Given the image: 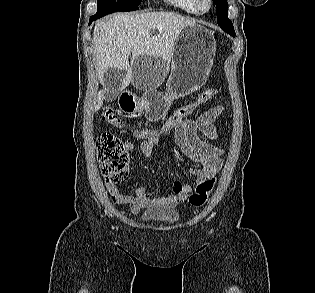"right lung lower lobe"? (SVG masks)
Returning <instances> with one entry per match:
<instances>
[{"label": "right lung lower lobe", "mask_w": 315, "mask_h": 293, "mask_svg": "<svg viewBox=\"0 0 315 293\" xmlns=\"http://www.w3.org/2000/svg\"><path fill=\"white\" fill-rule=\"evenodd\" d=\"M112 12H116V10L111 9V10H97V13L95 15H93L92 17H90V21L89 24H91L94 20H97L107 14H110Z\"/></svg>", "instance_id": "obj_1"}]
</instances>
